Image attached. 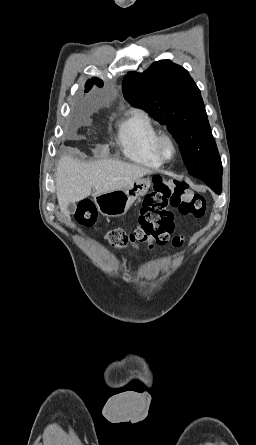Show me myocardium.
<instances>
[{
    "label": "myocardium",
    "instance_id": "f54148a6",
    "mask_svg": "<svg viewBox=\"0 0 256 445\" xmlns=\"http://www.w3.org/2000/svg\"><path fill=\"white\" fill-rule=\"evenodd\" d=\"M165 144H169L172 150L170 156H167L164 152ZM155 152L162 163L172 161L177 155V144L175 139L168 133H159L155 140Z\"/></svg>",
    "mask_w": 256,
    "mask_h": 445
}]
</instances>
